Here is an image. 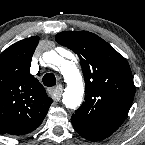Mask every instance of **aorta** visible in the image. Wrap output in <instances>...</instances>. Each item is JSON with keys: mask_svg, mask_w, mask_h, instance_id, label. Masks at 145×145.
Instances as JSON below:
<instances>
[{"mask_svg": "<svg viewBox=\"0 0 145 145\" xmlns=\"http://www.w3.org/2000/svg\"><path fill=\"white\" fill-rule=\"evenodd\" d=\"M49 63L58 66L64 75L67 87L63 93V103L69 109H76L82 102L84 93L82 77L75 65L55 52H49Z\"/></svg>", "mask_w": 145, "mask_h": 145, "instance_id": "1", "label": "aorta"}]
</instances>
